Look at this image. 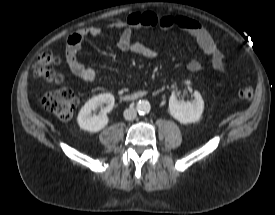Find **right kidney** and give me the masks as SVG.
Returning <instances> with one entry per match:
<instances>
[{"label":"right kidney","mask_w":275,"mask_h":215,"mask_svg":"<svg viewBox=\"0 0 275 215\" xmlns=\"http://www.w3.org/2000/svg\"><path fill=\"white\" fill-rule=\"evenodd\" d=\"M114 96L110 93L99 94L88 100L81 108L77 121L81 129L89 132H98L108 124L107 113L114 107ZM98 115H92L98 106H104Z\"/></svg>","instance_id":"obj_1"}]
</instances>
